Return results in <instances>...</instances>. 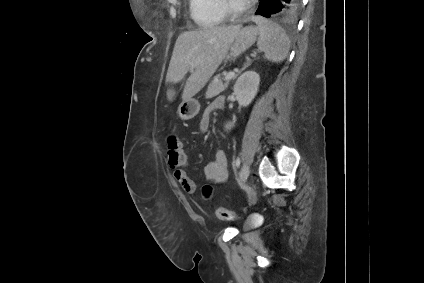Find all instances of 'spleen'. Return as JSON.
Returning a JSON list of instances; mask_svg holds the SVG:
<instances>
[{
  "label": "spleen",
  "mask_w": 424,
  "mask_h": 283,
  "mask_svg": "<svg viewBox=\"0 0 424 283\" xmlns=\"http://www.w3.org/2000/svg\"><path fill=\"white\" fill-rule=\"evenodd\" d=\"M259 32L258 49L264 58L273 63L283 61L290 48V40L285 31L276 23L262 17H255Z\"/></svg>",
  "instance_id": "spleen-1"
}]
</instances>
